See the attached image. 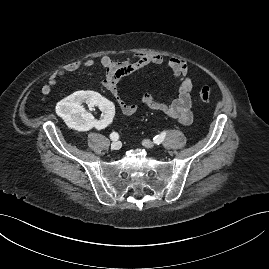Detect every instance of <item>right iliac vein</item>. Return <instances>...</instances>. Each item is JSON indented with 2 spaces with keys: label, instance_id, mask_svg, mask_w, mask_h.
Listing matches in <instances>:
<instances>
[{
  "label": "right iliac vein",
  "instance_id": "right-iliac-vein-1",
  "mask_svg": "<svg viewBox=\"0 0 269 269\" xmlns=\"http://www.w3.org/2000/svg\"><path fill=\"white\" fill-rule=\"evenodd\" d=\"M122 144L120 141H114L111 144V149L113 150H119L121 148Z\"/></svg>",
  "mask_w": 269,
  "mask_h": 269
}]
</instances>
